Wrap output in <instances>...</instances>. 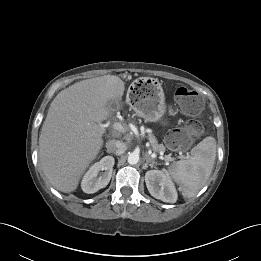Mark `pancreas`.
<instances>
[{"instance_id":"cf45deb5","label":"pancreas","mask_w":261,"mask_h":261,"mask_svg":"<svg viewBox=\"0 0 261 261\" xmlns=\"http://www.w3.org/2000/svg\"><path fill=\"white\" fill-rule=\"evenodd\" d=\"M149 140H150V143L152 145L153 151H155V152H165V146L163 144H158L156 138L153 135H150ZM164 159H165V161H170L171 157L168 158L167 156H165Z\"/></svg>"}]
</instances>
